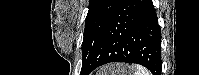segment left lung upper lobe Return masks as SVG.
I'll return each instance as SVG.
<instances>
[{"label": "left lung upper lobe", "mask_w": 199, "mask_h": 75, "mask_svg": "<svg viewBox=\"0 0 199 75\" xmlns=\"http://www.w3.org/2000/svg\"><path fill=\"white\" fill-rule=\"evenodd\" d=\"M121 2L122 0H90L82 42L81 73L90 62L110 18Z\"/></svg>", "instance_id": "1"}]
</instances>
